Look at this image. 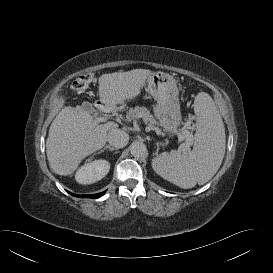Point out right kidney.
<instances>
[{
  "label": "right kidney",
  "mask_w": 273,
  "mask_h": 273,
  "mask_svg": "<svg viewBox=\"0 0 273 273\" xmlns=\"http://www.w3.org/2000/svg\"><path fill=\"white\" fill-rule=\"evenodd\" d=\"M110 170V164L106 160H95L81 166L75 179L79 184H92L104 178Z\"/></svg>",
  "instance_id": "1"
}]
</instances>
